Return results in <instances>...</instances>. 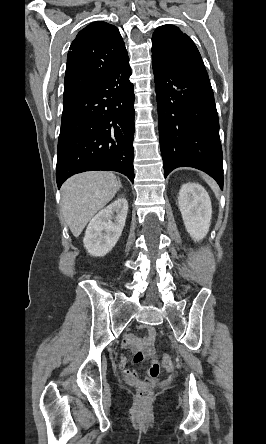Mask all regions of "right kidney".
<instances>
[{"instance_id":"ca27d5eb","label":"right kidney","mask_w":266,"mask_h":444,"mask_svg":"<svg viewBox=\"0 0 266 444\" xmlns=\"http://www.w3.org/2000/svg\"><path fill=\"white\" fill-rule=\"evenodd\" d=\"M127 211V200L118 198L90 221L83 239L89 254L101 257L112 250L122 234Z\"/></svg>"}]
</instances>
